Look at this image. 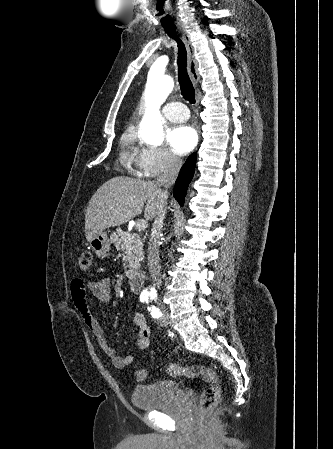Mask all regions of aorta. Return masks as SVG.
Returning <instances> with one entry per match:
<instances>
[{"instance_id": "1", "label": "aorta", "mask_w": 333, "mask_h": 449, "mask_svg": "<svg viewBox=\"0 0 333 449\" xmlns=\"http://www.w3.org/2000/svg\"><path fill=\"white\" fill-rule=\"evenodd\" d=\"M171 76L153 64L148 73L145 88V112L139 128V136L152 144L160 145L164 140L163 123L160 108L173 89Z\"/></svg>"}]
</instances>
